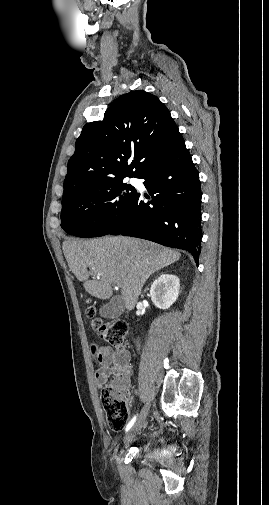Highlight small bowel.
<instances>
[{
  "label": "small bowel",
  "instance_id": "1",
  "mask_svg": "<svg viewBox=\"0 0 269 505\" xmlns=\"http://www.w3.org/2000/svg\"><path fill=\"white\" fill-rule=\"evenodd\" d=\"M93 360L97 365L95 381L99 387L104 386L110 377H116L123 383V397L129 402L128 381L131 376L130 353L115 352L107 346H92Z\"/></svg>",
  "mask_w": 269,
  "mask_h": 505
}]
</instances>
